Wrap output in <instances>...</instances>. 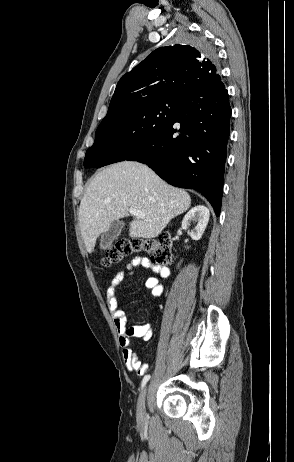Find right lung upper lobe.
I'll return each mask as SVG.
<instances>
[{
    "instance_id": "right-lung-upper-lobe-1",
    "label": "right lung upper lobe",
    "mask_w": 294,
    "mask_h": 462,
    "mask_svg": "<svg viewBox=\"0 0 294 462\" xmlns=\"http://www.w3.org/2000/svg\"><path fill=\"white\" fill-rule=\"evenodd\" d=\"M219 77L214 52L181 44L160 47L121 77L107 114L151 98L184 97Z\"/></svg>"
}]
</instances>
